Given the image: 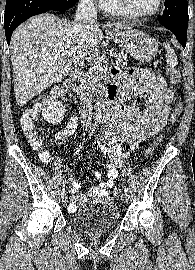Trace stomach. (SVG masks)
<instances>
[{"instance_id": "stomach-1", "label": "stomach", "mask_w": 195, "mask_h": 270, "mask_svg": "<svg viewBox=\"0 0 195 270\" xmlns=\"http://www.w3.org/2000/svg\"><path fill=\"white\" fill-rule=\"evenodd\" d=\"M107 32L123 50L138 61H150L158 52L157 41L138 29L115 27V29H108Z\"/></svg>"}]
</instances>
